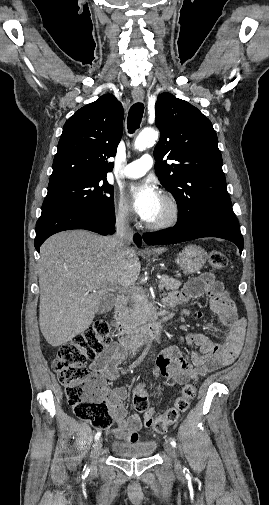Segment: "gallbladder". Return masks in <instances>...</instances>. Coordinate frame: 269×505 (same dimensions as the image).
<instances>
[{"mask_svg":"<svg viewBox=\"0 0 269 505\" xmlns=\"http://www.w3.org/2000/svg\"><path fill=\"white\" fill-rule=\"evenodd\" d=\"M113 307V299L111 297L105 298L101 300L100 305H99V314H104L109 312Z\"/></svg>","mask_w":269,"mask_h":505,"instance_id":"bac80fb5","label":"gallbladder"}]
</instances>
